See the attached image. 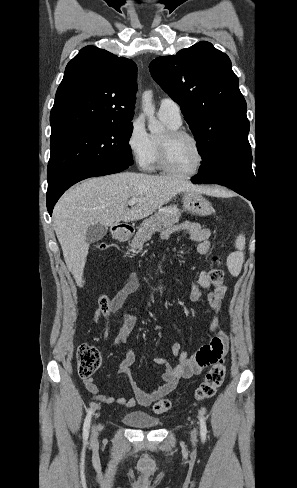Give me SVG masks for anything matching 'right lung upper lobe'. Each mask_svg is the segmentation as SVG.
Returning a JSON list of instances; mask_svg holds the SVG:
<instances>
[{
    "instance_id": "obj_1",
    "label": "right lung upper lobe",
    "mask_w": 297,
    "mask_h": 488,
    "mask_svg": "<svg viewBox=\"0 0 297 488\" xmlns=\"http://www.w3.org/2000/svg\"><path fill=\"white\" fill-rule=\"evenodd\" d=\"M137 67L94 46H86L67 64L50 114L52 134L70 128L131 123L137 91Z\"/></svg>"
}]
</instances>
